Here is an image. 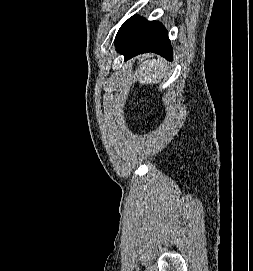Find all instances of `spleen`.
Wrapping results in <instances>:
<instances>
[{"label":"spleen","instance_id":"obj_1","mask_svg":"<svg viewBox=\"0 0 253 271\" xmlns=\"http://www.w3.org/2000/svg\"><path fill=\"white\" fill-rule=\"evenodd\" d=\"M165 73V62L162 59L146 60L135 75L142 84L159 83Z\"/></svg>","mask_w":253,"mask_h":271}]
</instances>
